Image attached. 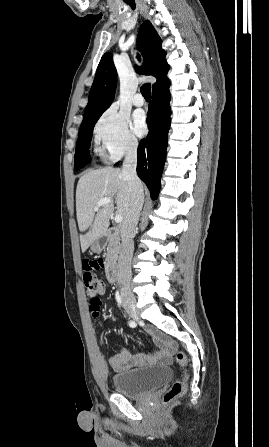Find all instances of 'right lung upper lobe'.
I'll list each match as a JSON object with an SVG mask.
<instances>
[{
    "mask_svg": "<svg viewBox=\"0 0 269 447\" xmlns=\"http://www.w3.org/2000/svg\"><path fill=\"white\" fill-rule=\"evenodd\" d=\"M161 44V38L152 24L149 21H145L141 25L137 37L138 49L142 52L144 58V65L142 67L136 66L138 73L152 75L157 79L167 74L169 65L165 61L166 52L162 50ZM116 82L117 71L112 55L105 53L98 65L80 128L97 121L111 105Z\"/></svg>",
    "mask_w": 269,
    "mask_h": 447,
    "instance_id": "1",
    "label": "right lung upper lobe"
}]
</instances>
